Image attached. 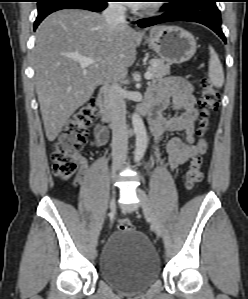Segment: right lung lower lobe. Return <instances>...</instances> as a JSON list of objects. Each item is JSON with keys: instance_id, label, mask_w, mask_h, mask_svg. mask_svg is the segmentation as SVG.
<instances>
[{"instance_id": "right-lung-lower-lobe-1", "label": "right lung lower lobe", "mask_w": 248, "mask_h": 299, "mask_svg": "<svg viewBox=\"0 0 248 299\" xmlns=\"http://www.w3.org/2000/svg\"><path fill=\"white\" fill-rule=\"evenodd\" d=\"M107 1L108 0H39L38 16L34 23V30L46 16L57 10L78 8L100 12L106 8Z\"/></svg>"}]
</instances>
